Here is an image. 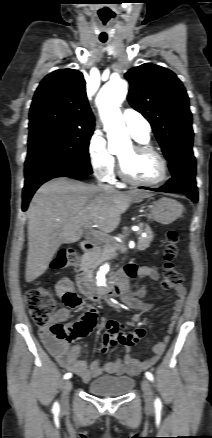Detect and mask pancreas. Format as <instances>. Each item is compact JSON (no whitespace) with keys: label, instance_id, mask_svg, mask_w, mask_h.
Returning a JSON list of instances; mask_svg holds the SVG:
<instances>
[{"label":"pancreas","instance_id":"pancreas-1","mask_svg":"<svg viewBox=\"0 0 212 438\" xmlns=\"http://www.w3.org/2000/svg\"><path fill=\"white\" fill-rule=\"evenodd\" d=\"M147 236L144 238L141 236V232H138V244L137 249L140 251L146 250L153 240V234L151 229L147 226L145 228ZM116 256V248L110 244H106L104 247L95 250L88 258H86L87 265H97L105 260L112 259Z\"/></svg>","mask_w":212,"mask_h":438}]
</instances>
